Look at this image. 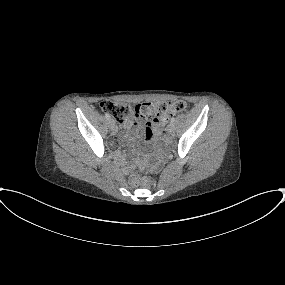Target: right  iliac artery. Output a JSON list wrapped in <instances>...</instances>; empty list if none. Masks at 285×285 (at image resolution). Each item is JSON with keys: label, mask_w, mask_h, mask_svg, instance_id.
I'll return each instance as SVG.
<instances>
[{"label": "right iliac artery", "mask_w": 285, "mask_h": 285, "mask_svg": "<svg viewBox=\"0 0 285 285\" xmlns=\"http://www.w3.org/2000/svg\"><path fill=\"white\" fill-rule=\"evenodd\" d=\"M105 117H106L107 119L110 118V116H109L107 113H105Z\"/></svg>", "instance_id": "1"}]
</instances>
